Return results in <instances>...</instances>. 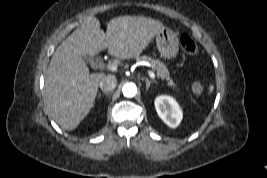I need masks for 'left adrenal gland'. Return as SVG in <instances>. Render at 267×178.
<instances>
[{"label":"left adrenal gland","mask_w":267,"mask_h":178,"mask_svg":"<svg viewBox=\"0 0 267 178\" xmlns=\"http://www.w3.org/2000/svg\"><path fill=\"white\" fill-rule=\"evenodd\" d=\"M144 80H145V82H146V90L148 91L149 88H150V85H151L152 83H154L155 81H150V80L147 79V78H145ZM155 83H156V82H155Z\"/></svg>","instance_id":"1"}]
</instances>
